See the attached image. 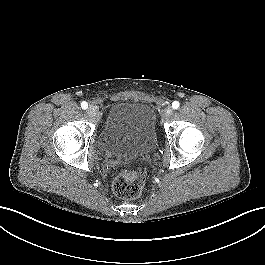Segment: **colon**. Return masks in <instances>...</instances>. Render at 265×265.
Here are the masks:
<instances>
[{
	"label": "colon",
	"instance_id": "colon-1",
	"mask_svg": "<svg viewBox=\"0 0 265 265\" xmlns=\"http://www.w3.org/2000/svg\"><path fill=\"white\" fill-rule=\"evenodd\" d=\"M145 178L142 171L121 170L112 182V189L116 196L122 199H134L139 197L144 189Z\"/></svg>",
	"mask_w": 265,
	"mask_h": 265
}]
</instances>
